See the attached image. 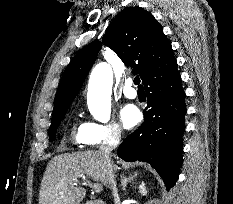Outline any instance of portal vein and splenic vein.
<instances>
[{"instance_id": "portal-vein-and-splenic-vein-1", "label": "portal vein and splenic vein", "mask_w": 233, "mask_h": 204, "mask_svg": "<svg viewBox=\"0 0 233 204\" xmlns=\"http://www.w3.org/2000/svg\"><path fill=\"white\" fill-rule=\"evenodd\" d=\"M83 184L86 185V184H91L90 181L88 180H83ZM77 185V184H75ZM91 187L94 189V191L96 193H100L102 191V185L101 184H91Z\"/></svg>"}]
</instances>
